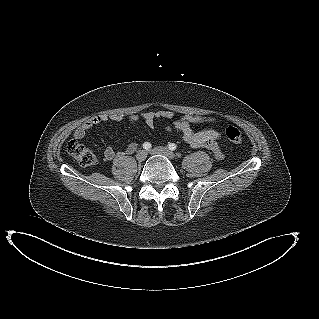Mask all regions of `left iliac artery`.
Instances as JSON below:
<instances>
[{"mask_svg": "<svg viewBox=\"0 0 319 319\" xmlns=\"http://www.w3.org/2000/svg\"><path fill=\"white\" fill-rule=\"evenodd\" d=\"M168 148H169V150H175L176 148H177V145L176 144H174V143H170L169 145H168Z\"/></svg>", "mask_w": 319, "mask_h": 319, "instance_id": "1", "label": "left iliac artery"}]
</instances>
